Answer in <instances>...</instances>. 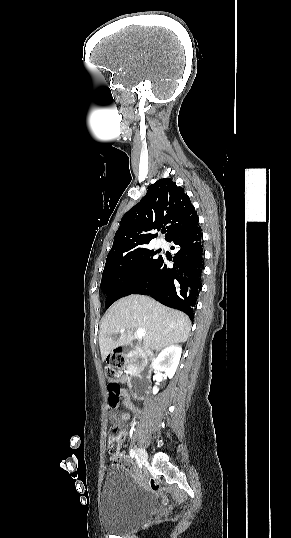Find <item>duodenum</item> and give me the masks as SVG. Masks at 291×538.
Segmentation results:
<instances>
[{
    "mask_svg": "<svg viewBox=\"0 0 291 538\" xmlns=\"http://www.w3.org/2000/svg\"><path fill=\"white\" fill-rule=\"evenodd\" d=\"M120 352L123 355H130L133 357L143 356V363L137 367L136 372H130L128 374L129 381L131 382V394L135 398H139L147 394L152 389V384L145 374L152 369L153 356H144V352L137 347H122ZM140 372L143 374L140 375ZM137 378V379H136Z\"/></svg>",
    "mask_w": 291,
    "mask_h": 538,
    "instance_id": "1",
    "label": "duodenum"
}]
</instances>
